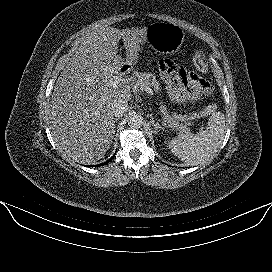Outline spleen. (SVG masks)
<instances>
[{
	"mask_svg": "<svg viewBox=\"0 0 272 272\" xmlns=\"http://www.w3.org/2000/svg\"><path fill=\"white\" fill-rule=\"evenodd\" d=\"M225 116L213 112L204 131L199 133H179L168 142L171 152L187 165H198L212 158L220 148L224 138Z\"/></svg>",
	"mask_w": 272,
	"mask_h": 272,
	"instance_id": "spleen-1",
	"label": "spleen"
}]
</instances>
